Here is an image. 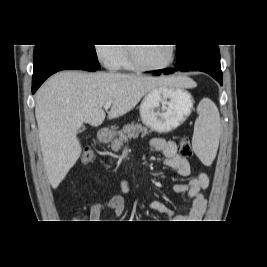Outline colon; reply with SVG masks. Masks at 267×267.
<instances>
[{
	"instance_id": "5ec220e1",
	"label": "colon",
	"mask_w": 267,
	"mask_h": 267,
	"mask_svg": "<svg viewBox=\"0 0 267 267\" xmlns=\"http://www.w3.org/2000/svg\"><path fill=\"white\" fill-rule=\"evenodd\" d=\"M179 151L183 157L192 155L191 144L187 137L181 138L179 142ZM81 160L85 165L93 164L96 161V154L91 148H85L82 152Z\"/></svg>"
}]
</instances>
